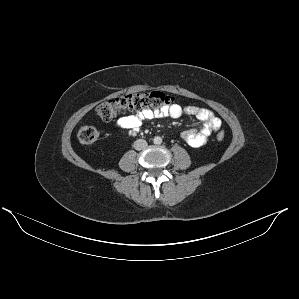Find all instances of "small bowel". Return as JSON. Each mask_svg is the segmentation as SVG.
<instances>
[{"instance_id": "small-bowel-1", "label": "small bowel", "mask_w": 299, "mask_h": 299, "mask_svg": "<svg viewBox=\"0 0 299 299\" xmlns=\"http://www.w3.org/2000/svg\"><path fill=\"white\" fill-rule=\"evenodd\" d=\"M186 114L195 117L201 122L198 128L188 129L181 133V138L192 147H200L208 142L213 133L221 127V120L210 110L193 105L181 106L174 104L162 109H146L135 114L122 116L115 122L117 128L130 135L136 134L144 121L170 116L179 118Z\"/></svg>"}]
</instances>
